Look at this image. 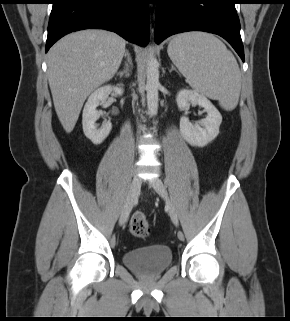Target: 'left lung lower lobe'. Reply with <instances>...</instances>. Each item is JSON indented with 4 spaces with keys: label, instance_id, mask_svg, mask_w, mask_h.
Listing matches in <instances>:
<instances>
[{
    "label": "left lung lower lobe",
    "instance_id": "obj_1",
    "mask_svg": "<svg viewBox=\"0 0 290 321\" xmlns=\"http://www.w3.org/2000/svg\"><path fill=\"white\" fill-rule=\"evenodd\" d=\"M238 0H156L155 42L187 31H205L227 40L244 62Z\"/></svg>",
    "mask_w": 290,
    "mask_h": 321
}]
</instances>
